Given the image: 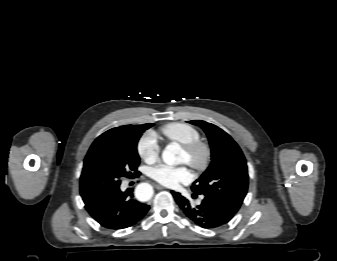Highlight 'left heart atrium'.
I'll use <instances>...</instances> for the list:
<instances>
[{
    "label": "left heart atrium",
    "instance_id": "left-heart-atrium-1",
    "mask_svg": "<svg viewBox=\"0 0 337 261\" xmlns=\"http://www.w3.org/2000/svg\"><path fill=\"white\" fill-rule=\"evenodd\" d=\"M149 175L158 183L167 187H176L180 183H188L191 173L185 166L157 165L150 169Z\"/></svg>",
    "mask_w": 337,
    "mask_h": 261
}]
</instances>
